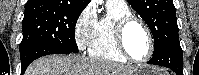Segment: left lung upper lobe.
<instances>
[{
	"label": "left lung upper lobe",
	"instance_id": "1",
	"mask_svg": "<svg viewBox=\"0 0 199 75\" xmlns=\"http://www.w3.org/2000/svg\"><path fill=\"white\" fill-rule=\"evenodd\" d=\"M143 18L154 38L153 56L179 43L173 0H127Z\"/></svg>",
	"mask_w": 199,
	"mask_h": 75
}]
</instances>
